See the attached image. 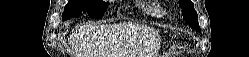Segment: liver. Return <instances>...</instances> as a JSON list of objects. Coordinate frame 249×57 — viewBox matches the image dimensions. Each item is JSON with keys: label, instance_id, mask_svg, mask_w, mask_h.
Masks as SVG:
<instances>
[{"label": "liver", "instance_id": "obj_1", "mask_svg": "<svg viewBox=\"0 0 249 57\" xmlns=\"http://www.w3.org/2000/svg\"><path fill=\"white\" fill-rule=\"evenodd\" d=\"M157 33L148 27L130 23L82 26L72 36L78 57H130L138 39L153 43ZM132 55V54H131Z\"/></svg>", "mask_w": 249, "mask_h": 57}]
</instances>
